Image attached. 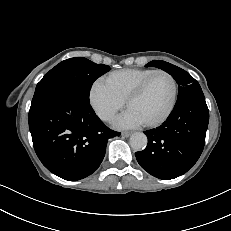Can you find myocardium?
I'll use <instances>...</instances> for the list:
<instances>
[{
	"instance_id": "myocardium-1",
	"label": "myocardium",
	"mask_w": 231,
	"mask_h": 231,
	"mask_svg": "<svg viewBox=\"0 0 231 231\" xmlns=\"http://www.w3.org/2000/svg\"><path fill=\"white\" fill-rule=\"evenodd\" d=\"M157 74H164V75L168 76L170 78V80L172 81V85H173L172 100H171L169 108L167 109V111L160 118H158V119H156L154 121L143 123V125L146 126V127H158V126L162 125L164 122H166L169 119V117L172 115V113H173V111H174V109L176 107L177 101H178L179 89H178V82H177L176 78L170 72H168L166 70L156 69V70H153L149 75H147L132 90V92L127 96V98L125 100V106L128 108L129 104L132 101H134L135 99H137L142 94L145 87L147 86L149 81L152 79V77L157 75Z\"/></svg>"
}]
</instances>
